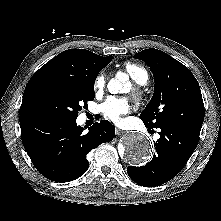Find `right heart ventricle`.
Instances as JSON below:
<instances>
[{"label":"right heart ventricle","mask_w":221,"mask_h":221,"mask_svg":"<svg viewBox=\"0 0 221 221\" xmlns=\"http://www.w3.org/2000/svg\"><path fill=\"white\" fill-rule=\"evenodd\" d=\"M124 69L127 74L139 85H144L149 80V74L145 67L135 62H126Z\"/></svg>","instance_id":"1"}]
</instances>
